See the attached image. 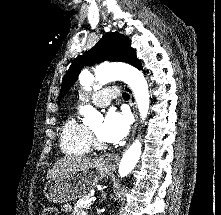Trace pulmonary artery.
Wrapping results in <instances>:
<instances>
[{"label":"pulmonary artery","instance_id":"1","mask_svg":"<svg viewBox=\"0 0 221 215\" xmlns=\"http://www.w3.org/2000/svg\"><path fill=\"white\" fill-rule=\"evenodd\" d=\"M119 95V90L115 87H106L94 92L91 96V101L95 106L106 107L111 100Z\"/></svg>","mask_w":221,"mask_h":215}]
</instances>
